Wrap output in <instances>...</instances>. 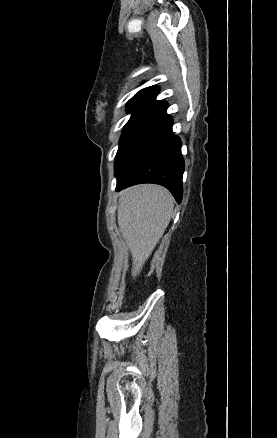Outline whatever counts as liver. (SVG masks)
Segmentation results:
<instances>
[{
  "label": "liver",
  "instance_id": "6515ba94",
  "mask_svg": "<svg viewBox=\"0 0 277 438\" xmlns=\"http://www.w3.org/2000/svg\"><path fill=\"white\" fill-rule=\"evenodd\" d=\"M118 226L132 254V276L140 274L172 216L174 200L162 186L144 184L119 194Z\"/></svg>",
  "mask_w": 277,
  "mask_h": 438
}]
</instances>
